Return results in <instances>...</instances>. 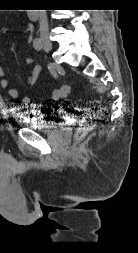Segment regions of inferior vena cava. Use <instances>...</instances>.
Here are the masks:
<instances>
[{
  "instance_id": "inferior-vena-cava-1",
  "label": "inferior vena cava",
  "mask_w": 138,
  "mask_h": 253,
  "mask_svg": "<svg viewBox=\"0 0 138 253\" xmlns=\"http://www.w3.org/2000/svg\"><path fill=\"white\" fill-rule=\"evenodd\" d=\"M39 31L42 39H47L49 34L46 10H39Z\"/></svg>"
}]
</instances>
